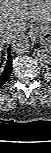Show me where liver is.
<instances>
[{
    "instance_id": "liver-1",
    "label": "liver",
    "mask_w": 51,
    "mask_h": 153,
    "mask_svg": "<svg viewBox=\"0 0 51 153\" xmlns=\"http://www.w3.org/2000/svg\"><path fill=\"white\" fill-rule=\"evenodd\" d=\"M51 22V0H0V49L32 23Z\"/></svg>"
}]
</instances>
